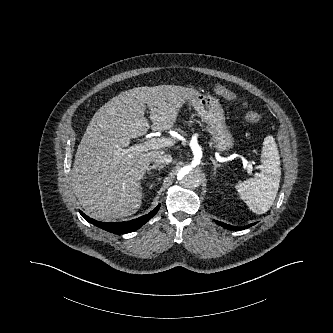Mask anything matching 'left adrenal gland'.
Masks as SVG:
<instances>
[{"instance_id": "1", "label": "left adrenal gland", "mask_w": 333, "mask_h": 333, "mask_svg": "<svg viewBox=\"0 0 333 333\" xmlns=\"http://www.w3.org/2000/svg\"><path fill=\"white\" fill-rule=\"evenodd\" d=\"M211 161H212V163H213V175H215V174H216V171H217V168L220 167V164H218L217 161H215L214 158H211Z\"/></svg>"}]
</instances>
